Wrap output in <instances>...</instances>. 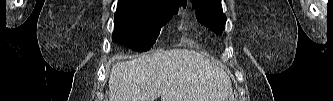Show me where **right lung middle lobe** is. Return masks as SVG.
<instances>
[{"label": "right lung middle lobe", "instance_id": "1", "mask_svg": "<svg viewBox=\"0 0 333 101\" xmlns=\"http://www.w3.org/2000/svg\"><path fill=\"white\" fill-rule=\"evenodd\" d=\"M179 5L186 7V2L118 0L112 40L135 51L150 50L161 27L177 13Z\"/></svg>", "mask_w": 333, "mask_h": 101}]
</instances>
